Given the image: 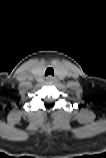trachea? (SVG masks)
I'll use <instances>...</instances> for the list:
<instances>
[{"instance_id": "trachea-1", "label": "trachea", "mask_w": 106, "mask_h": 158, "mask_svg": "<svg viewBox=\"0 0 106 158\" xmlns=\"http://www.w3.org/2000/svg\"><path fill=\"white\" fill-rule=\"evenodd\" d=\"M52 75L54 76V70L52 67H48L45 71V76Z\"/></svg>"}]
</instances>
